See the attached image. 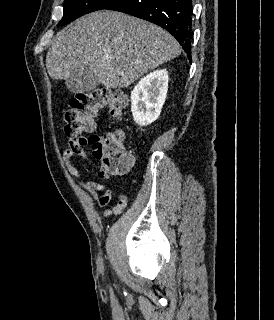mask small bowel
<instances>
[{"instance_id": "1", "label": "small bowel", "mask_w": 274, "mask_h": 320, "mask_svg": "<svg viewBox=\"0 0 274 320\" xmlns=\"http://www.w3.org/2000/svg\"><path fill=\"white\" fill-rule=\"evenodd\" d=\"M86 124L87 131H96V119H87ZM89 143L90 139L84 136L75 139H69L63 149V161L69 174L76 181V183L92 197L97 206L104 207L112 200L111 190L102 183L84 178L79 169L72 162L77 156L82 157L85 160L88 158L86 152L84 151V147ZM95 155L98 158L103 157V153L97 149H95ZM127 161H134V157L130 153L127 154ZM131 169L132 168H122L120 174H125ZM99 177L108 178L104 169L99 172ZM100 193L102 194L100 195ZM129 201L130 199L128 196H119L115 206L103 211V217L109 218L111 216L121 214L129 205Z\"/></svg>"}]
</instances>
